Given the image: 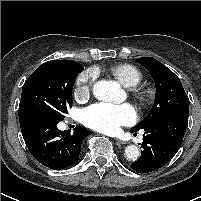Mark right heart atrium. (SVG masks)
I'll return each mask as SVG.
<instances>
[{
  "label": "right heart atrium",
  "instance_id": "d8ad5b80",
  "mask_svg": "<svg viewBox=\"0 0 201 201\" xmlns=\"http://www.w3.org/2000/svg\"><path fill=\"white\" fill-rule=\"evenodd\" d=\"M97 77V71L93 68L84 70L76 79L74 95L78 100L89 98L94 81Z\"/></svg>",
  "mask_w": 201,
  "mask_h": 201
}]
</instances>
